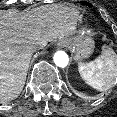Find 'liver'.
Here are the masks:
<instances>
[{"instance_id": "liver-1", "label": "liver", "mask_w": 117, "mask_h": 117, "mask_svg": "<svg viewBox=\"0 0 117 117\" xmlns=\"http://www.w3.org/2000/svg\"><path fill=\"white\" fill-rule=\"evenodd\" d=\"M80 19L75 7L63 4L43 5L24 14L0 11V103L17 98L23 90L33 52L73 36Z\"/></svg>"}]
</instances>
